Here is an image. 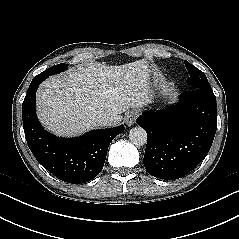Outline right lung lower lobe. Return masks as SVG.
I'll return each instance as SVG.
<instances>
[{
	"label": "right lung lower lobe",
	"instance_id": "obj_1",
	"mask_svg": "<svg viewBox=\"0 0 239 239\" xmlns=\"http://www.w3.org/2000/svg\"><path fill=\"white\" fill-rule=\"evenodd\" d=\"M46 78L42 74L33 78L22 104L27 144L38 162L57 178L73 184L88 182L101 172L109 144L124 126L92 130L77 138L52 136L35 112L36 90Z\"/></svg>",
	"mask_w": 239,
	"mask_h": 239
}]
</instances>
